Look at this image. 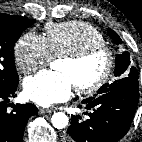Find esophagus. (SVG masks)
<instances>
[{
    "instance_id": "1",
    "label": "esophagus",
    "mask_w": 142,
    "mask_h": 142,
    "mask_svg": "<svg viewBox=\"0 0 142 142\" xmlns=\"http://www.w3.org/2000/svg\"><path fill=\"white\" fill-rule=\"evenodd\" d=\"M52 111L50 109H45V108H39V113L40 114H47L51 113Z\"/></svg>"
}]
</instances>
